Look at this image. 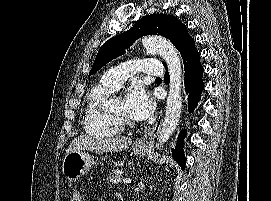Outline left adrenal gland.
Returning <instances> with one entry per match:
<instances>
[{
    "label": "left adrenal gland",
    "mask_w": 271,
    "mask_h": 201,
    "mask_svg": "<svg viewBox=\"0 0 271 201\" xmlns=\"http://www.w3.org/2000/svg\"><path fill=\"white\" fill-rule=\"evenodd\" d=\"M144 188H145V185L143 184V182H140L138 185V188H136V194H138Z\"/></svg>",
    "instance_id": "1"
}]
</instances>
